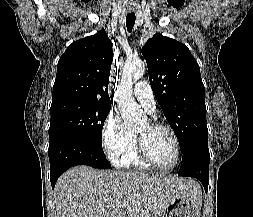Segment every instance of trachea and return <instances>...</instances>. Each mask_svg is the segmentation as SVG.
Here are the masks:
<instances>
[{"label":"trachea","mask_w":253,"mask_h":217,"mask_svg":"<svg viewBox=\"0 0 253 217\" xmlns=\"http://www.w3.org/2000/svg\"><path fill=\"white\" fill-rule=\"evenodd\" d=\"M135 13L134 12H131L127 15L126 17V27H127V30L128 32H131L133 27H134V24H135Z\"/></svg>","instance_id":"trachea-1"}]
</instances>
